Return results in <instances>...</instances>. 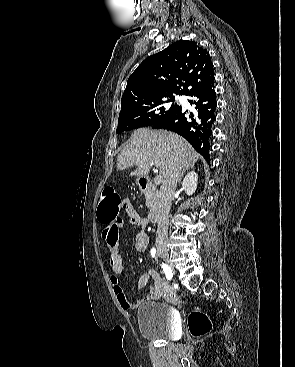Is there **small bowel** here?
<instances>
[{
  "instance_id": "c3829d8e",
  "label": "small bowel",
  "mask_w": 295,
  "mask_h": 367,
  "mask_svg": "<svg viewBox=\"0 0 295 367\" xmlns=\"http://www.w3.org/2000/svg\"><path fill=\"white\" fill-rule=\"evenodd\" d=\"M123 209L126 211L129 222L141 227L140 231H137L134 236V247L137 252H144L149 244V236L146 228L148 221L146 218L141 217L132 203L125 199L123 201ZM105 227L102 230V238L108 248L110 256V268L112 275L110 276V283L112 285L114 294L122 309L133 310L139 307L147 300H158L169 296V291L160 274L155 270H148L143 273L137 282L136 290L140 291L146 287L150 280H153V286L149 288L145 296L135 302H129L123 292V289L119 283V275L123 272V259L119 250V230L124 224V219L117 218L109 223H104Z\"/></svg>"
}]
</instances>
